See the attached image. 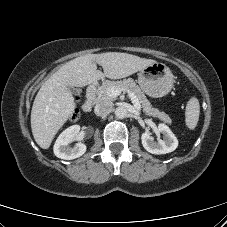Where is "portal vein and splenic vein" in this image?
Here are the masks:
<instances>
[{
  "mask_svg": "<svg viewBox=\"0 0 227 227\" xmlns=\"http://www.w3.org/2000/svg\"><path fill=\"white\" fill-rule=\"evenodd\" d=\"M123 90H127V89H120V88H114V87H112L111 89H109V93H110V96L117 97L118 95L121 94V92ZM127 92H128V95H129L132 103L134 104L135 108L137 110H140L141 109V106H140V103H139L136 95L132 91H130V90H127Z\"/></svg>",
  "mask_w": 227,
  "mask_h": 227,
  "instance_id": "portal-vein-and-splenic-vein-1",
  "label": "portal vein and splenic vein"
}]
</instances>
